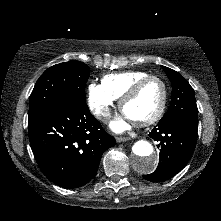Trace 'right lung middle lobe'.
I'll list each match as a JSON object with an SVG mask.
<instances>
[{"label": "right lung middle lobe", "instance_id": "1", "mask_svg": "<svg viewBox=\"0 0 221 221\" xmlns=\"http://www.w3.org/2000/svg\"><path fill=\"white\" fill-rule=\"evenodd\" d=\"M90 70L79 61H69L48 68L38 79L29 101L28 125L59 108L70 98L86 101L85 85Z\"/></svg>", "mask_w": 221, "mask_h": 221}]
</instances>
